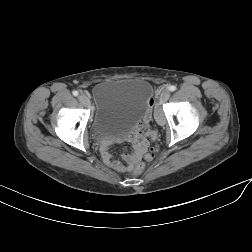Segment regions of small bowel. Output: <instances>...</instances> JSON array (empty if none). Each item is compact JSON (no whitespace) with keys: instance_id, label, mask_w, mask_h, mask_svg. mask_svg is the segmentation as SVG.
I'll return each instance as SVG.
<instances>
[{"instance_id":"c3829d8e","label":"small bowel","mask_w":252,"mask_h":252,"mask_svg":"<svg viewBox=\"0 0 252 252\" xmlns=\"http://www.w3.org/2000/svg\"><path fill=\"white\" fill-rule=\"evenodd\" d=\"M150 129L146 121L138 120L137 123L130 129L127 140L132 146V152H123L122 161H117L112 158L107 150L103 151V159L105 163L112 169L124 172L132 169V167L140 161L145 155L149 146Z\"/></svg>"}]
</instances>
